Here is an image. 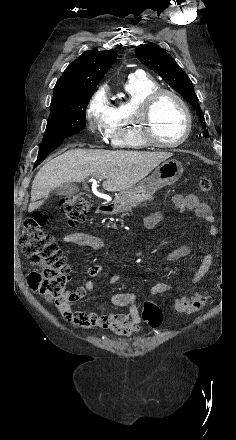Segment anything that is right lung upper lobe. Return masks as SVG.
<instances>
[{"label":"right lung upper lobe","mask_w":236,"mask_h":440,"mask_svg":"<svg viewBox=\"0 0 236 440\" xmlns=\"http://www.w3.org/2000/svg\"><path fill=\"white\" fill-rule=\"evenodd\" d=\"M115 59L116 53L112 50L84 52L65 69L57 81L51 104L93 93Z\"/></svg>","instance_id":"right-lung-upper-lobe-1"}]
</instances>
